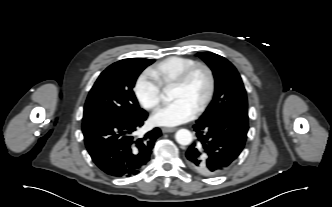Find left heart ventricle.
<instances>
[{
    "label": "left heart ventricle",
    "mask_w": 332,
    "mask_h": 207,
    "mask_svg": "<svg viewBox=\"0 0 332 207\" xmlns=\"http://www.w3.org/2000/svg\"><path fill=\"white\" fill-rule=\"evenodd\" d=\"M208 88V77L203 70L194 73L184 87H172V100L181 99L192 106L195 110L205 96Z\"/></svg>",
    "instance_id": "obj_1"
}]
</instances>
